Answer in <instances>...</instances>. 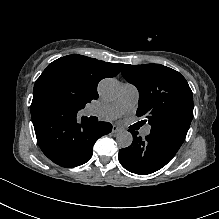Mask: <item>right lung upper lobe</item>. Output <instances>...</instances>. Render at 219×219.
Here are the masks:
<instances>
[{
  "mask_svg": "<svg viewBox=\"0 0 219 219\" xmlns=\"http://www.w3.org/2000/svg\"><path fill=\"white\" fill-rule=\"evenodd\" d=\"M122 67L121 63H107L78 54L53 61L35 82L31 115L44 113L42 99L50 90H60L70 96L78 112L98 98L99 81L116 76Z\"/></svg>",
  "mask_w": 219,
  "mask_h": 219,
  "instance_id": "cb5924a9",
  "label": "right lung upper lobe"
}]
</instances>
